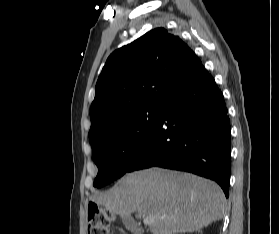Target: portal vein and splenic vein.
Returning <instances> with one entry per match:
<instances>
[{"mask_svg": "<svg viewBox=\"0 0 279 234\" xmlns=\"http://www.w3.org/2000/svg\"><path fill=\"white\" fill-rule=\"evenodd\" d=\"M143 222H144L145 225H150L154 222V220H153L152 217L145 216Z\"/></svg>", "mask_w": 279, "mask_h": 234, "instance_id": "18ae733b", "label": "portal vein and splenic vein"}]
</instances>
